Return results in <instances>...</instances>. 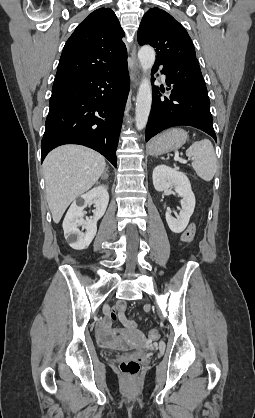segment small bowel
Here are the masks:
<instances>
[{"instance_id":"small-bowel-1","label":"small bowel","mask_w":255,"mask_h":418,"mask_svg":"<svg viewBox=\"0 0 255 418\" xmlns=\"http://www.w3.org/2000/svg\"><path fill=\"white\" fill-rule=\"evenodd\" d=\"M197 228H187L183 231L181 239L184 241L183 246L187 247L192 243L193 237H197ZM120 320L125 326L124 330H113L110 326L112 320ZM140 338V333L137 331L134 321L128 319L124 315V304L118 303L115 306V312L111 314L107 323L99 329V337L103 344L106 346L114 347L117 346L121 337Z\"/></svg>"}]
</instances>
